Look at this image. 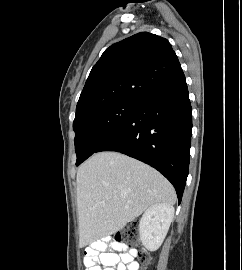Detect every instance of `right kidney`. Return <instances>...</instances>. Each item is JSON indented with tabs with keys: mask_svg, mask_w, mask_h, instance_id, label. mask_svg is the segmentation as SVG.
<instances>
[{
	"mask_svg": "<svg viewBox=\"0 0 242 270\" xmlns=\"http://www.w3.org/2000/svg\"><path fill=\"white\" fill-rule=\"evenodd\" d=\"M174 211L172 205L158 203L144 212L139 223V235L146 249L155 251L161 246L173 220Z\"/></svg>",
	"mask_w": 242,
	"mask_h": 270,
	"instance_id": "obj_1",
	"label": "right kidney"
}]
</instances>
